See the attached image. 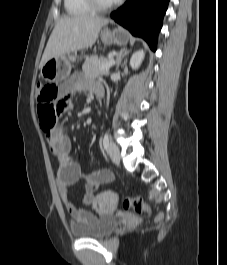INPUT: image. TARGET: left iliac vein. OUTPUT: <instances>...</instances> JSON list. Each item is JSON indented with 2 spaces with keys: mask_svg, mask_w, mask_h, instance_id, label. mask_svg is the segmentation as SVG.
<instances>
[{
  "mask_svg": "<svg viewBox=\"0 0 227 265\" xmlns=\"http://www.w3.org/2000/svg\"><path fill=\"white\" fill-rule=\"evenodd\" d=\"M108 152H109V156H110L112 162L115 164H119L120 152H119V148L116 146V144L110 143L108 146Z\"/></svg>",
  "mask_w": 227,
  "mask_h": 265,
  "instance_id": "left-iliac-vein-1",
  "label": "left iliac vein"
}]
</instances>
